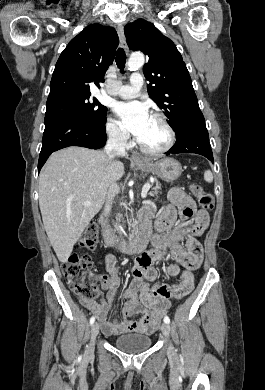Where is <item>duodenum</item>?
<instances>
[{
	"label": "duodenum",
	"mask_w": 265,
	"mask_h": 390,
	"mask_svg": "<svg viewBox=\"0 0 265 390\" xmlns=\"http://www.w3.org/2000/svg\"><path fill=\"white\" fill-rule=\"evenodd\" d=\"M101 224L103 228L102 235L104 244L109 247L116 245L117 249L123 254H130L132 251L143 250L151 237L150 222L144 215H139L138 217V224L133 233L134 240L130 245L122 243L116 244L115 238L107 229L106 221L103 220Z\"/></svg>",
	"instance_id": "410a0bca"
}]
</instances>
